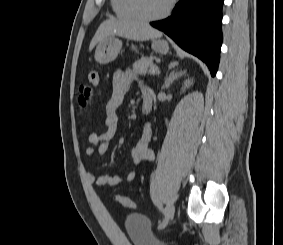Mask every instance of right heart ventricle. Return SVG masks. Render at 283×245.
Instances as JSON below:
<instances>
[{"mask_svg": "<svg viewBox=\"0 0 283 245\" xmlns=\"http://www.w3.org/2000/svg\"><path fill=\"white\" fill-rule=\"evenodd\" d=\"M111 6L114 13L125 19H134L137 18L131 8L130 0H111Z\"/></svg>", "mask_w": 283, "mask_h": 245, "instance_id": "obj_1", "label": "right heart ventricle"}]
</instances>
